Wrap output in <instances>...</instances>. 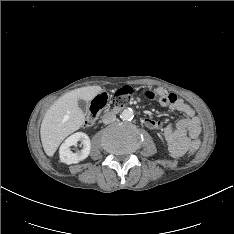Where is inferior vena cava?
Returning <instances> with one entry per match:
<instances>
[{
  "mask_svg": "<svg viewBox=\"0 0 234 234\" xmlns=\"http://www.w3.org/2000/svg\"><path fill=\"white\" fill-rule=\"evenodd\" d=\"M103 123L109 124L116 120V115L113 112H107L103 115Z\"/></svg>",
  "mask_w": 234,
  "mask_h": 234,
  "instance_id": "1",
  "label": "inferior vena cava"
}]
</instances>
